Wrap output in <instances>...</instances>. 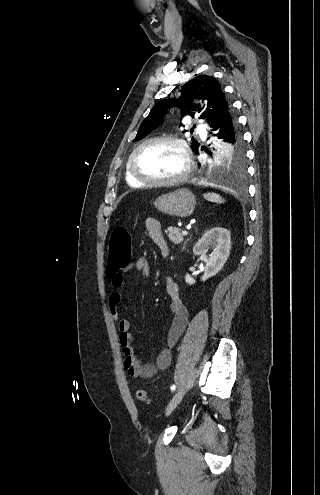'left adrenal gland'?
<instances>
[{"label":"left adrenal gland","instance_id":"obj_1","mask_svg":"<svg viewBox=\"0 0 320 495\" xmlns=\"http://www.w3.org/2000/svg\"><path fill=\"white\" fill-rule=\"evenodd\" d=\"M189 241V239H187L185 242H184V246H183V249L185 248V244Z\"/></svg>","mask_w":320,"mask_h":495}]
</instances>
